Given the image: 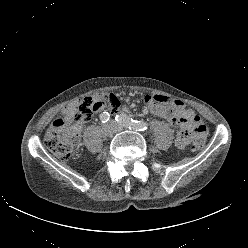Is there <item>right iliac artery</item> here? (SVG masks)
<instances>
[{"instance_id": "1", "label": "right iliac artery", "mask_w": 248, "mask_h": 248, "mask_svg": "<svg viewBox=\"0 0 248 248\" xmlns=\"http://www.w3.org/2000/svg\"><path fill=\"white\" fill-rule=\"evenodd\" d=\"M99 117H100V120H101L102 123H106L110 119V115H109L108 112L101 113Z\"/></svg>"}]
</instances>
